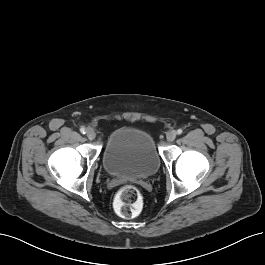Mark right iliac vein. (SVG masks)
<instances>
[{
    "instance_id": "right-iliac-vein-1",
    "label": "right iliac vein",
    "mask_w": 265,
    "mask_h": 265,
    "mask_svg": "<svg viewBox=\"0 0 265 265\" xmlns=\"http://www.w3.org/2000/svg\"><path fill=\"white\" fill-rule=\"evenodd\" d=\"M86 135H87L89 140H93L96 136L95 131L92 128H88L86 130Z\"/></svg>"
}]
</instances>
